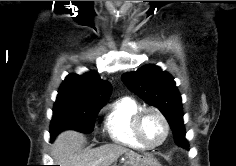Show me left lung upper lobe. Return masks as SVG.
<instances>
[{
	"mask_svg": "<svg viewBox=\"0 0 236 166\" xmlns=\"http://www.w3.org/2000/svg\"><path fill=\"white\" fill-rule=\"evenodd\" d=\"M127 87L149 105L157 107L169 125L182 121V99L174 78L158 66L145 65L135 72L122 75Z\"/></svg>",
	"mask_w": 236,
	"mask_h": 166,
	"instance_id": "obj_1",
	"label": "left lung upper lobe"
}]
</instances>
